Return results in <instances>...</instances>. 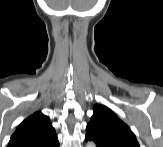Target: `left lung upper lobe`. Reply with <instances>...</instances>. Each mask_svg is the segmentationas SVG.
Instances as JSON below:
<instances>
[{"label": "left lung upper lobe", "mask_w": 163, "mask_h": 147, "mask_svg": "<svg viewBox=\"0 0 163 147\" xmlns=\"http://www.w3.org/2000/svg\"><path fill=\"white\" fill-rule=\"evenodd\" d=\"M86 135L99 143L121 147H140L128 125L109 108L98 104L94 106V114L86 127Z\"/></svg>", "instance_id": "obj_1"}]
</instances>
